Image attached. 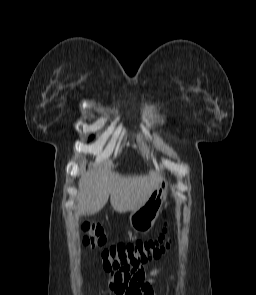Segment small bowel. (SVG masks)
<instances>
[{
    "label": "small bowel",
    "mask_w": 256,
    "mask_h": 295,
    "mask_svg": "<svg viewBox=\"0 0 256 295\" xmlns=\"http://www.w3.org/2000/svg\"><path fill=\"white\" fill-rule=\"evenodd\" d=\"M160 272L161 268L156 266L111 271L108 286L115 295H153L152 285Z\"/></svg>",
    "instance_id": "1"
}]
</instances>
